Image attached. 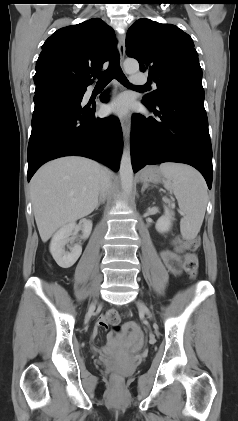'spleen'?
Wrapping results in <instances>:
<instances>
[{
    "instance_id": "1",
    "label": "spleen",
    "mask_w": 238,
    "mask_h": 421,
    "mask_svg": "<svg viewBox=\"0 0 238 421\" xmlns=\"http://www.w3.org/2000/svg\"><path fill=\"white\" fill-rule=\"evenodd\" d=\"M159 170L165 179L164 187L174 193L183 213L180 222L183 237L187 239L196 237L208 201L204 178L197 170L185 164L166 162L160 165Z\"/></svg>"
}]
</instances>
